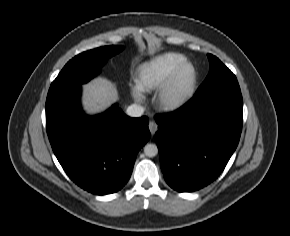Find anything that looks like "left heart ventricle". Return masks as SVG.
Wrapping results in <instances>:
<instances>
[{"mask_svg":"<svg viewBox=\"0 0 290 236\" xmlns=\"http://www.w3.org/2000/svg\"><path fill=\"white\" fill-rule=\"evenodd\" d=\"M189 78H190V70H186L179 79L177 90L183 89L185 85L187 84Z\"/></svg>","mask_w":290,"mask_h":236,"instance_id":"b2bd125f","label":"left heart ventricle"}]
</instances>
